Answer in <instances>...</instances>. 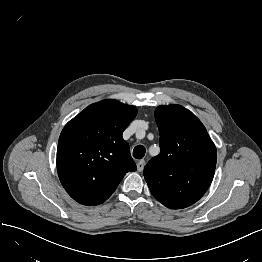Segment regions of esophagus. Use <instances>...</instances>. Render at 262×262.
I'll return each instance as SVG.
<instances>
[{
    "mask_svg": "<svg viewBox=\"0 0 262 262\" xmlns=\"http://www.w3.org/2000/svg\"><path fill=\"white\" fill-rule=\"evenodd\" d=\"M144 166H145V161H144V160H139V161L137 162V170H138L139 172H142V171H143Z\"/></svg>",
    "mask_w": 262,
    "mask_h": 262,
    "instance_id": "1",
    "label": "esophagus"
}]
</instances>
